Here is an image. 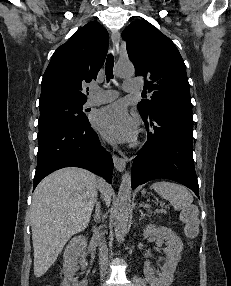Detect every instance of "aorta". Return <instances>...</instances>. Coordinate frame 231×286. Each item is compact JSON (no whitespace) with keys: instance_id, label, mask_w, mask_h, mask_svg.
<instances>
[{"instance_id":"obj_1","label":"aorta","mask_w":231,"mask_h":286,"mask_svg":"<svg viewBox=\"0 0 231 286\" xmlns=\"http://www.w3.org/2000/svg\"><path fill=\"white\" fill-rule=\"evenodd\" d=\"M134 66L131 63H118L115 73L118 77H130L134 75ZM131 175L125 172L117 195L115 209V235L118 242L123 241L127 231L128 220L131 212Z\"/></svg>"}]
</instances>
